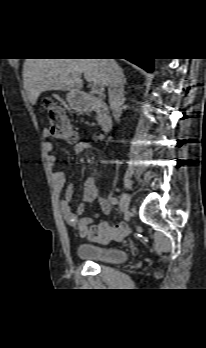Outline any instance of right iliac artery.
Returning a JSON list of instances; mask_svg holds the SVG:
<instances>
[{
  "instance_id": "obj_1",
  "label": "right iliac artery",
  "mask_w": 206,
  "mask_h": 348,
  "mask_svg": "<svg viewBox=\"0 0 206 348\" xmlns=\"http://www.w3.org/2000/svg\"><path fill=\"white\" fill-rule=\"evenodd\" d=\"M111 203H112V204H117V203H118L117 198H112V199H111Z\"/></svg>"
}]
</instances>
